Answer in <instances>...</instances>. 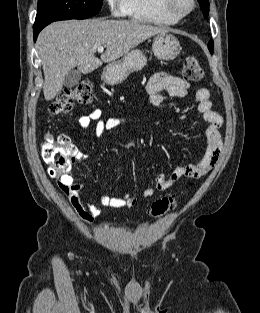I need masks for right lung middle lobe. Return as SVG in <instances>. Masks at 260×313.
Listing matches in <instances>:
<instances>
[{
	"mask_svg": "<svg viewBox=\"0 0 260 313\" xmlns=\"http://www.w3.org/2000/svg\"><path fill=\"white\" fill-rule=\"evenodd\" d=\"M102 5L103 0H38L35 22L86 19L96 15Z\"/></svg>",
	"mask_w": 260,
	"mask_h": 313,
	"instance_id": "1",
	"label": "right lung middle lobe"
}]
</instances>
